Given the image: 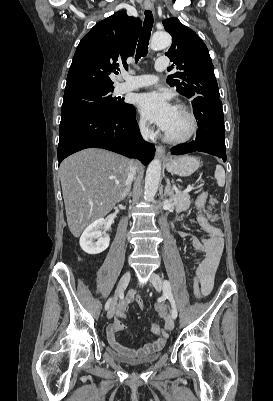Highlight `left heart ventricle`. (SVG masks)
<instances>
[{
    "label": "left heart ventricle",
    "mask_w": 273,
    "mask_h": 401,
    "mask_svg": "<svg viewBox=\"0 0 273 401\" xmlns=\"http://www.w3.org/2000/svg\"><path fill=\"white\" fill-rule=\"evenodd\" d=\"M191 122L189 118L180 110L175 109L165 132L171 136L181 137L189 133Z\"/></svg>",
    "instance_id": "left-heart-ventricle-1"
}]
</instances>
